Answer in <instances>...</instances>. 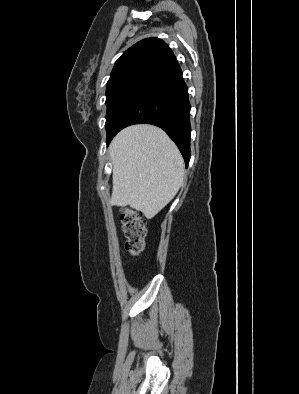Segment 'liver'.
<instances>
[{"mask_svg": "<svg viewBox=\"0 0 299 394\" xmlns=\"http://www.w3.org/2000/svg\"><path fill=\"white\" fill-rule=\"evenodd\" d=\"M109 150L113 164L112 205H130L151 219L183 184V158L158 127L129 126L116 135Z\"/></svg>", "mask_w": 299, "mask_h": 394, "instance_id": "obj_1", "label": "liver"}]
</instances>
